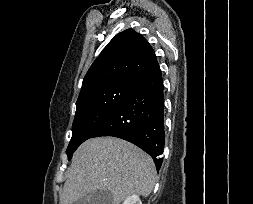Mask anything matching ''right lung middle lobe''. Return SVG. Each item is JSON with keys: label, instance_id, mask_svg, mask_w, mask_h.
<instances>
[{"label": "right lung middle lobe", "instance_id": "right-lung-middle-lobe-1", "mask_svg": "<svg viewBox=\"0 0 253 204\" xmlns=\"http://www.w3.org/2000/svg\"><path fill=\"white\" fill-rule=\"evenodd\" d=\"M135 82H115L78 97L72 125V138L66 154L68 160L85 140L92 138L128 95Z\"/></svg>", "mask_w": 253, "mask_h": 204}]
</instances>
